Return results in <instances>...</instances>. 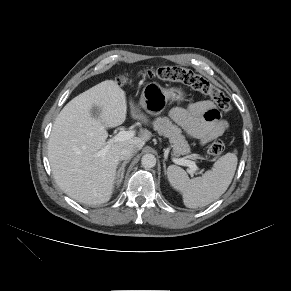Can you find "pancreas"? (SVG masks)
Listing matches in <instances>:
<instances>
[{
    "mask_svg": "<svg viewBox=\"0 0 291 291\" xmlns=\"http://www.w3.org/2000/svg\"><path fill=\"white\" fill-rule=\"evenodd\" d=\"M154 130L169 139L175 156L185 155L190 152L189 144L178 126L172 124L167 117H159L153 122Z\"/></svg>",
    "mask_w": 291,
    "mask_h": 291,
    "instance_id": "pancreas-1",
    "label": "pancreas"
}]
</instances>
